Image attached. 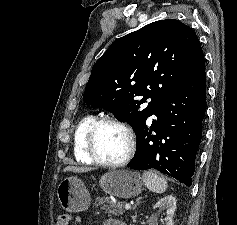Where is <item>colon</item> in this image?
Listing matches in <instances>:
<instances>
[{
  "mask_svg": "<svg viewBox=\"0 0 237 225\" xmlns=\"http://www.w3.org/2000/svg\"><path fill=\"white\" fill-rule=\"evenodd\" d=\"M71 220H72V218H71L70 214L61 213L57 218L56 225H70Z\"/></svg>",
  "mask_w": 237,
  "mask_h": 225,
  "instance_id": "obj_1",
  "label": "colon"
}]
</instances>
